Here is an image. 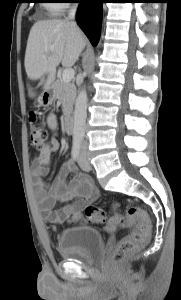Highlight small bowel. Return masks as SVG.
<instances>
[{"label": "small bowel", "instance_id": "small-bowel-1", "mask_svg": "<svg viewBox=\"0 0 181 300\" xmlns=\"http://www.w3.org/2000/svg\"><path fill=\"white\" fill-rule=\"evenodd\" d=\"M47 124L52 131H55L57 120L54 114L51 113L47 116ZM58 147L57 135L53 134L50 141L34 159L35 198L41 209L47 213V220L50 223L76 222L82 218L83 209L97 198L98 191L85 176H75L68 180L75 171V164L71 159L62 165L50 184L42 180V177L49 172L50 157ZM58 202L65 203V205L59 210H54Z\"/></svg>", "mask_w": 181, "mask_h": 300}]
</instances>
